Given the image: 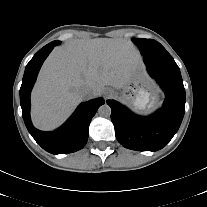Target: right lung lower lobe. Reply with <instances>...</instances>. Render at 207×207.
<instances>
[{
	"label": "right lung lower lobe",
	"mask_w": 207,
	"mask_h": 207,
	"mask_svg": "<svg viewBox=\"0 0 207 207\" xmlns=\"http://www.w3.org/2000/svg\"><path fill=\"white\" fill-rule=\"evenodd\" d=\"M54 46V42L47 44L27 64L20 88V104L25 125L35 141L49 153L67 154L85 146L91 119L104 104V99L99 97L81 103L69 120L56 131L45 132L33 127L30 120V93L42 63Z\"/></svg>",
	"instance_id": "obj_1"
}]
</instances>
